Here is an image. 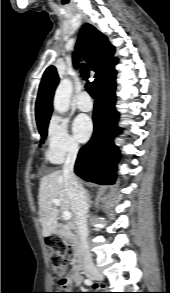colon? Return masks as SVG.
<instances>
[{
    "label": "colon",
    "instance_id": "5ec220e1",
    "mask_svg": "<svg viewBox=\"0 0 170 293\" xmlns=\"http://www.w3.org/2000/svg\"><path fill=\"white\" fill-rule=\"evenodd\" d=\"M47 245L51 249L49 260L52 265L57 283V292L53 293H66L63 291L68 289L69 284L66 277V269L68 266L67 257L71 253L70 247L64 240L57 236L48 237Z\"/></svg>",
    "mask_w": 170,
    "mask_h": 293
}]
</instances>
